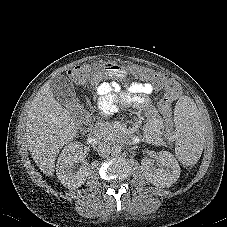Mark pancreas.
Listing matches in <instances>:
<instances>
[{
    "instance_id": "pancreas-1",
    "label": "pancreas",
    "mask_w": 227,
    "mask_h": 227,
    "mask_svg": "<svg viewBox=\"0 0 227 227\" xmlns=\"http://www.w3.org/2000/svg\"><path fill=\"white\" fill-rule=\"evenodd\" d=\"M93 133L99 138L110 139L112 136V126L109 124L98 123L95 125Z\"/></svg>"
}]
</instances>
